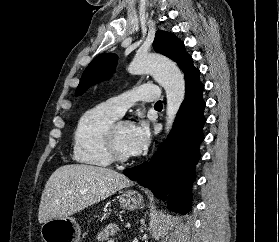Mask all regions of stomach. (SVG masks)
I'll list each match as a JSON object with an SVG mask.
<instances>
[{
	"instance_id": "obj_1",
	"label": "stomach",
	"mask_w": 279,
	"mask_h": 242,
	"mask_svg": "<svg viewBox=\"0 0 279 242\" xmlns=\"http://www.w3.org/2000/svg\"><path fill=\"white\" fill-rule=\"evenodd\" d=\"M123 209L135 210L142 206L143 197L134 190L124 191L119 198ZM41 237L44 242H79L80 227L71 217L54 218L41 226Z\"/></svg>"
}]
</instances>
